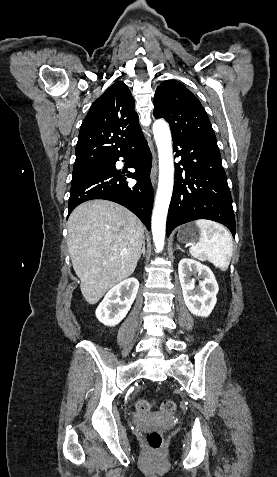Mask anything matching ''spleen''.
Masks as SVG:
<instances>
[{"instance_id": "1", "label": "spleen", "mask_w": 277, "mask_h": 477, "mask_svg": "<svg viewBox=\"0 0 277 477\" xmlns=\"http://www.w3.org/2000/svg\"><path fill=\"white\" fill-rule=\"evenodd\" d=\"M200 230L199 241L190 247V254L201 261H209L221 271L229 267L233 253L232 236L228 230L210 220L195 222Z\"/></svg>"}]
</instances>
